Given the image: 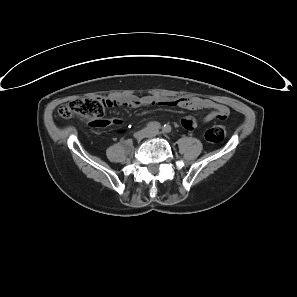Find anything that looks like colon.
<instances>
[{
    "instance_id": "obj_1",
    "label": "colon",
    "mask_w": 297,
    "mask_h": 297,
    "mask_svg": "<svg viewBox=\"0 0 297 297\" xmlns=\"http://www.w3.org/2000/svg\"><path fill=\"white\" fill-rule=\"evenodd\" d=\"M108 104L102 98H80L75 99L58 109V114L63 119H69L73 115H79L90 119H103L105 108ZM226 136V129L223 125H214L205 132V138L211 143H220Z\"/></svg>"
}]
</instances>
